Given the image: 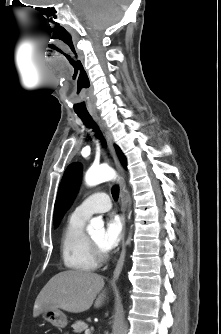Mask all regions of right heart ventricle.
Instances as JSON below:
<instances>
[{
	"label": "right heart ventricle",
	"instance_id": "e07e8e85",
	"mask_svg": "<svg viewBox=\"0 0 221 334\" xmlns=\"http://www.w3.org/2000/svg\"><path fill=\"white\" fill-rule=\"evenodd\" d=\"M86 220L72 213L62 232V260L68 269L75 272H91L98 267L85 232Z\"/></svg>",
	"mask_w": 221,
	"mask_h": 334
}]
</instances>
